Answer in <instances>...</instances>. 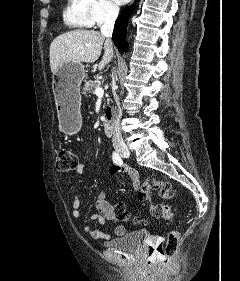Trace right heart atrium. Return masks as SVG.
<instances>
[{
  "instance_id": "right-heart-atrium-1",
  "label": "right heart atrium",
  "mask_w": 240,
  "mask_h": 281,
  "mask_svg": "<svg viewBox=\"0 0 240 281\" xmlns=\"http://www.w3.org/2000/svg\"><path fill=\"white\" fill-rule=\"evenodd\" d=\"M91 13L94 24L100 25L115 19L118 15V7L112 0H91Z\"/></svg>"
}]
</instances>
